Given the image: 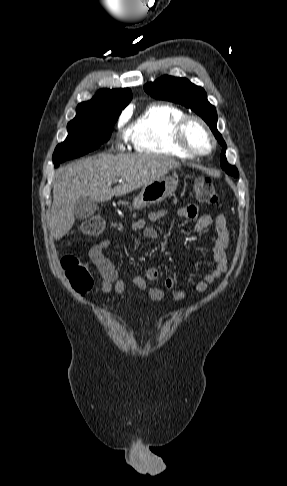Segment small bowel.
Masks as SVG:
<instances>
[{"label":"small bowel","mask_w":287,"mask_h":486,"mask_svg":"<svg viewBox=\"0 0 287 486\" xmlns=\"http://www.w3.org/2000/svg\"><path fill=\"white\" fill-rule=\"evenodd\" d=\"M168 214L169 211L167 209L151 211L147 218L134 221L130 229L134 232H141L148 239L156 240L159 237L158 232L154 227L149 226L147 222L159 221ZM176 215L179 218L195 220L194 230L196 232L205 231L211 226L215 228L216 236L213 239L211 253L213 268L195 285L196 291L200 293L205 292L208 286L225 274L228 269L226 249L229 245V230L227 218L222 214L217 215L215 218L209 214H199L198 207L195 205L180 208ZM110 245L111 241L109 239H103L96 243L89 250V258L102 277V290L105 293L114 291L116 294L121 295L125 291V281L119 276L117 269L104 253ZM159 278V269L150 267L144 271L143 275L133 276L132 282L140 290L147 291L152 300L160 301L165 297L167 291L175 287V280L169 276L164 279L162 287H148V281H156ZM185 297L186 292L184 290H175L171 295L172 300L175 302L182 301Z\"/></svg>","instance_id":"small-bowel-1"}]
</instances>
